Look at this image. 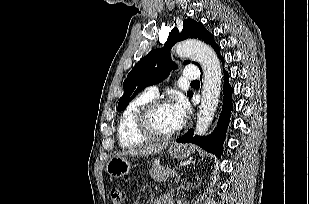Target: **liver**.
Listing matches in <instances>:
<instances>
[{
	"label": "liver",
	"mask_w": 309,
	"mask_h": 204,
	"mask_svg": "<svg viewBox=\"0 0 309 204\" xmlns=\"http://www.w3.org/2000/svg\"><path fill=\"white\" fill-rule=\"evenodd\" d=\"M168 146V142L150 144L143 147L131 148L124 151L121 155L130 156H149L157 153H161Z\"/></svg>",
	"instance_id": "obj_1"
}]
</instances>
